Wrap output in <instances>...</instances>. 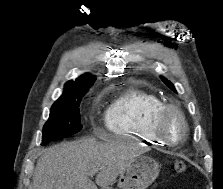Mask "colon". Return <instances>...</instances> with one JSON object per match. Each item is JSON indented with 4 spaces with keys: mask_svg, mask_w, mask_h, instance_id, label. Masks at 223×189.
<instances>
[{
    "mask_svg": "<svg viewBox=\"0 0 223 189\" xmlns=\"http://www.w3.org/2000/svg\"><path fill=\"white\" fill-rule=\"evenodd\" d=\"M174 171L178 174H183L187 171V164L182 160H177L174 163Z\"/></svg>",
    "mask_w": 223,
    "mask_h": 189,
    "instance_id": "colon-1",
    "label": "colon"
}]
</instances>
